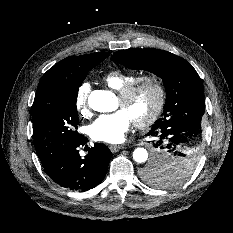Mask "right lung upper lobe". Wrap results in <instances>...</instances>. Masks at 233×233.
<instances>
[{
    "mask_svg": "<svg viewBox=\"0 0 233 233\" xmlns=\"http://www.w3.org/2000/svg\"><path fill=\"white\" fill-rule=\"evenodd\" d=\"M109 52L69 56L51 67L41 78L35 98L54 87L67 86L70 78L80 75L109 56Z\"/></svg>",
    "mask_w": 233,
    "mask_h": 233,
    "instance_id": "cb5924a9",
    "label": "right lung upper lobe"
}]
</instances>
